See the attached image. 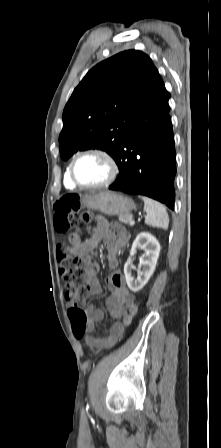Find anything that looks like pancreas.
<instances>
[{"label": "pancreas", "instance_id": "obj_1", "mask_svg": "<svg viewBox=\"0 0 221 448\" xmlns=\"http://www.w3.org/2000/svg\"><path fill=\"white\" fill-rule=\"evenodd\" d=\"M130 220H132L131 215H119V221L122 223L127 224L130 222Z\"/></svg>", "mask_w": 221, "mask_h": 448}]
</instances>
